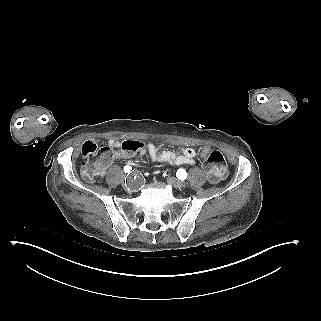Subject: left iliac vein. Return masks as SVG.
<instances>
[{"mask_svg": "<svg viewBox=\"0 0 321 321\" xmlns=\"http://www.w3.org/2000/svg\"><path fill=\"white\" fill-rule=\"evenodd\" d=\"M167 181L170 185H172L173 187L178 188V189L184 188L186 186L185 181L179 180L175 177H168Z\"/></svg>", "mask_w": 321, "mask_h": 321, "instance_id": "4c4485c4", "label": "left iliac vein"}]
</instances>
